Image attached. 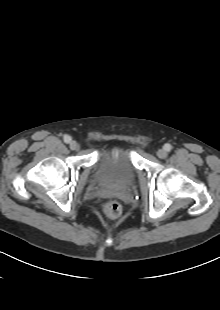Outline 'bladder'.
<instances>
[{
  "label": "bladder",
  "mask_w": 220,
  "mask_h": 310,
  "mask_svg": "<svg viewBox=\"0 0 220 310\" xmlns=\"http://www.w3.org/2000/svg\"><path fill=\"white\" fill-rule=\"evenodd\" d=\"M94 176L103 186L127 187L135 180L136 171L125 149L108 147L98 153Z\"/></svg>",
  "instance_id": "1"
}]
</instances>
